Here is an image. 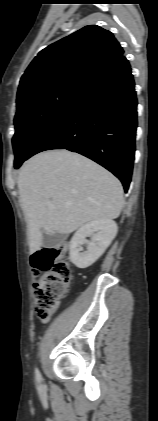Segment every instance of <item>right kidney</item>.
<instances>
[{
  "mask_svg": "<svg viewBox=\"0 0 158 421\" xmlns=\"http://www.w3.org/2000/svg\"><path fill=\"white\" fill-rule=\"evenodd\" d=\"M117 231V224L113 220H94L81 226L70 241V261L81 269L91 266L111 244ZM87 236L92 237L89 243H86ZM84 244H87L86 251L82 248Z\"/></svg>",
  "mask_w": 158,
  "mask_h": 421,
  "instance_id": "obj_1",
  "label": "right kidney"
}]
</instances>
